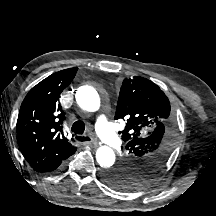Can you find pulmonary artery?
Returning <instances> with one entry per match:
<instances>
[{
    "mask_svg": "<svg viewBox=\"0 0 216 216\" xmlns=\"http://www.w3.org/2000/svg\"><path fill=\"white\" fill-rule=\"evenodd\" d=\"M98 135L111 147H117L121 144L120 138L113 130L111 124L104 115L97 117L95 124Z\"/></svg>",
    "mask_w": 216,
    "mask_h": 216,
    "instance_id": "e3ab8cb5",
    "label": "pulmonary artery"
}]
</instances>
